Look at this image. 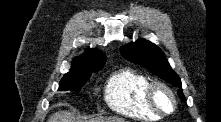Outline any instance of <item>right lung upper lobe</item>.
I'll use <instances>...</instances> for the list:
<instances>
[{
  "mask_svg": "<svg viewBox=\"0 0 221 122\" xmlns=\"http://www.w3.org/2000/svg\"><path fill=\"white\" fill-rule=\"evenodd\" d=\"M105 63V56L94 49H89L84 55L72 61L71 69L67 74H80L96 70Z\"/></svg>",
  "mask_w": 221,
  "mask_h": 122,
  "instance_id": "1",
  "label": "right lung upper lobe"
}]
</instances>
